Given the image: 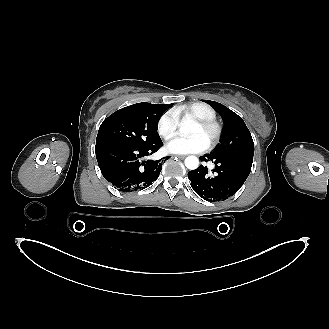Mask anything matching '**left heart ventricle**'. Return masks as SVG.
Returning <instances> with one entry per match:
<instances>
[{
    "instance_id": "left-heart-ventricle-1",
    "label": "left heart ventricle",
    "mask_w": 329,
    "mask_h": 329,
    "mask_svg": "<svg viewBox=\"0 0 329 329\" xmlns=\"http://www.w3.org/2000/svg\"><path fill=\"white\" fill-rule=\"evenodd\" d=\"M189 136L192 135H199L201 136L207 143H209L211 137H212V133L208 130L202 129L201 127H199L196 124H192L190 127V130L188 132Z\"/></svg>"
}]
</instances>
